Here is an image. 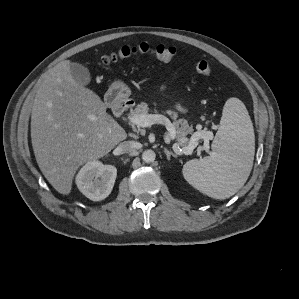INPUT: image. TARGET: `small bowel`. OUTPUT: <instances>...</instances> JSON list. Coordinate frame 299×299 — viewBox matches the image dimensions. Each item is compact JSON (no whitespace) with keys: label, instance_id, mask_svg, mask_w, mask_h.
<instances>
[{"label":"small bowel","instance_id":"c3829d8e","mask_svg":"<svg viewBox=\"0 0 299 299\" xmlns=\"http://www.w3.org/2000/svg\"><path fill=\"white\" fill-rule=\"evenodd\" d=\"M179 110H181V111H182L183 109L179 107Z\"/></svg>","mask_w":299,"mask_h":299}]
</instances>
